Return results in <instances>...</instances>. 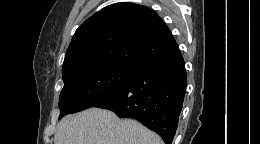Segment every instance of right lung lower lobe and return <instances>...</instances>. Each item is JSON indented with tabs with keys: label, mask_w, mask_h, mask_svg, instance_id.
<instances>
[{
	"label": "right lung lower lobe",
	"mask_w": 260,
	"mask_h": 144,
	"mask_svg": "<svg viewBox=\"0 0 260 144\" xmlns=\"http://www.w3.org/2000/svg\"><path fill=\"white\" fill-rule=\"evenodd\" d=\"M186 84L185 63L176 49L137 66L116 92L94 107L134 118L172 144Z\"/></svg>",
	"instance_id": "1"
}]
</instances>
